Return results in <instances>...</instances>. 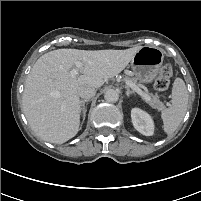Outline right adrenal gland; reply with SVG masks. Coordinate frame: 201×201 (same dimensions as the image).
<instances>
[{
	"instance_id": "1",
	"label": "right adrenal gland",
	"mask_w": 201,
	"mask_h": 201,
	"mask_svg": "<svg viewBox=\"0 0 201 201\" xmlns=\"http://www.w3.org/2000/svg\"><path fill=\"white\" fill-rule=\"evenodd\" d=\"M88 102H89V100H87V99L81 100V111H82V115H83V120L86 117V111H87L85 103H88Z\"/></svg>"
}]
</instances>
